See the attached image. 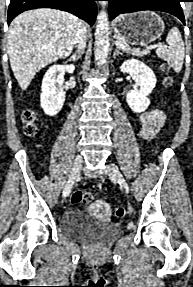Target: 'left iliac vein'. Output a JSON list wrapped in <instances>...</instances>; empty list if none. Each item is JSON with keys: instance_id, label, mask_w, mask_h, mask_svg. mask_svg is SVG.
<instances>
[{"instance_id": "left-iliac-vein-1", "label": "left iliac vein", "mask_w": 193, "mask_h": 287, "mask_svg": "<svg viewBox=\"0 0 193 287\" xmlns=\"http://www.w3.org/2000/svg\"><path fill=\"white\" fill-rule=\"evenodd\" d=\"M108 174L110 178H116L118 179L119 183L125 188L126 192H129V188L128 185L124 179V177L122 176V174L120 173V171L118 170V168L116 167V165L109 163L108 164Z\"/></svg>"}]
</instances>
